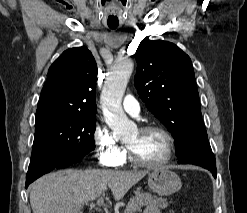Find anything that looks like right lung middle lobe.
I'll list each match as a JSON object with an SVG mask.
<instances>
[{"instance_id": "obj_1", "label": "right lung middle lobe", "mask_w": 247, "mask_h": 213, "mask_svg": "<svg viewBox=\"0 0 247 213\" xmlns=\"http://www.w3.org/2000/svg\"><path fill=\"white\" fill-rule=\"evenodd\" d=\"M96 115H69L50 113L36 116L35 137L30 165L51 156L66 159H78L86 156L95 148ZM35 167L32 173L41 172Z\"/></svg>"}]
</instances>
